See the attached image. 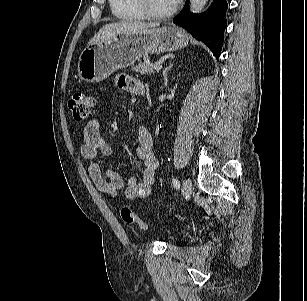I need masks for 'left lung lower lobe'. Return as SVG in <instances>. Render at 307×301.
Returning <instances> with one entry per match:
<instances>
[{
  "label": "left lung lower lobe",
  "mask_w": 307,
  "mask_h": 301,
  "mask_svg": "<svg viewBox=\"0 0 307 301\" xmlns=\"http://www.w3.org/2000/svg\"><path fill=\"white\" fill-rule=\"evenodd\" d=\"M189 1L186 0L184 10L173 19V23L185 28L191 35L204 42L216 58L220 56L226 28V0H214L211 7L202 14L190 12Z\"/></svg>",
  "instance_id": "0a47b994"
}]
</instances>
